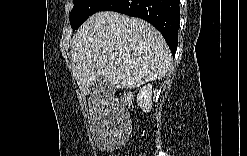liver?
<instances>
[{"instance_id": "1", "label": "liver", "mask_w": 247, "mask_h": 156, "mask_svg": "<svg viewBox=\"0 0 247 156\" xmlns=\"http://www.w3.org/2000/svg\"><path fill=\"white\" fill-rule=\"evenodd\" d=\"M70 52L84 93L98 77L117 89L138 88L165 76L172 62L163 36L150 23L113 11L87 19L73 36Z\"/></svg>"}]
</instances>
